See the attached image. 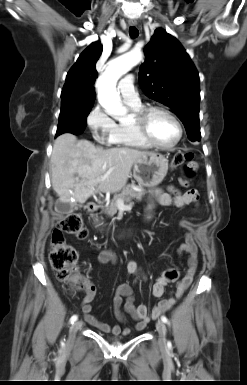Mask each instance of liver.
<instances>
[{
  "label": "liver",
  "instance_id": "6515ba94",
  "mask_svg": "<svg viewBox=\"0 0 247 385\" xmlns=\"http://www.w3.org/2000/svg\"><path fill=\"white\" fill-rule=\"evenodd\" d=\"M147 153L132 148L104 149L77 140L71 133L61 134L51 155L52 188L64 203L82 204L95 192H117L126 185L134 162Z\"/></svg>",
  "mask_w": 247,
  "mask_h": 385
}]
</instances>
